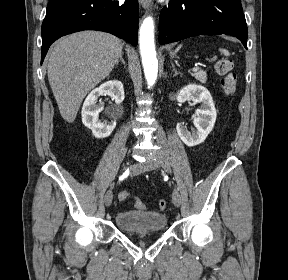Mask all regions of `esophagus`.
<instances>
[{"label": "esophagus", "instance_id": "esophagus-1", "mask_svg": "<svg viewBox=\"0 0 288 280\" xmlns=\"http://www.w3.org/2000/svg\"><path fill=\"white\" fill-rule=\"evenodd\" d=\"M139 3L141 6L145 9H151L152 8V2L151 0H139Z\"/></svg>", "mask_w": 288, "mask_h": 280}]
</instances>
